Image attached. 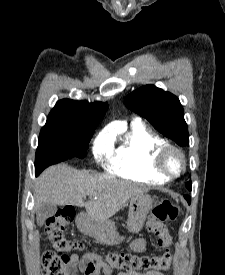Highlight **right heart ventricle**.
<instances>
[{"label": "right heart ventricle", "mask_w": 225, "mask_h": 275, "mask_svg": "<svg viewBox=\"0 0 225 275\" xmlns=\"http://www.w3.org/2000/svg\"><path fill=\"white\" fill-rule=\"evenodd\" d=\"M166 140L145 125L134 123L108 157L107 171L122 179L157 185L170 180L154 167V156Z\"/></svg>", "instance_id": "1"}]
</instances>
